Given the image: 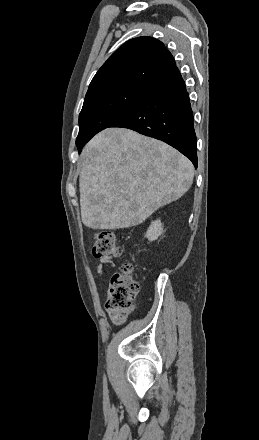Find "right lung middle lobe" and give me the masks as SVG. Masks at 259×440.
Wrapping results in <instances>:
<instances>
[{
  "mask_svg": "<svg viewBox=\"0 0 259 440\" xmlns=\"http://www.w3.org/2000/svg\"><path fill=\"white\" fill-rule=\"evenodd\" d=\"M146 92V89H121L84 102L79 115V134L76 139L79 153L94 135L129 112Z\"/></svg>",
  "mask_w": 259,
  "mask_h": 440,
  "instance_id": "1",
  "label": "right lung middle lobe"
}]
</instances>
